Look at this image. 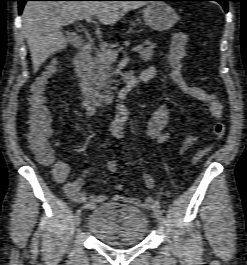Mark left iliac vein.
Returning <instances> with one entry per match:
<instances>
[{
	"instance_id": "1",
	"label": "left iliac vein",
	"mask_w": 247,
	"mask_h": 265,
	"mask_svg": "<svg viewBox=\"0 0 247 265\" xmlns=\"http://www.w3.org/2000/svg\"><path fill=\"white\" fill-rule=\"evenodd\" d=\"M155 216H156V219H157L158 225H159L161 228H163V227H164V223H165L163 216L160 215V214H156V213H155Z\"/></svg>"
}]
</instances>
